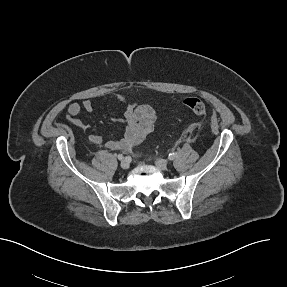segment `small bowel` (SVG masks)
<instances>
[{
	"label": "small bowel",
	"instance_id": "c3829d8e",
	"mask_svg": "<svg viewBox=\"0 0 287 287\" xmlns=\"http://www.w3.org/2000/svg\"><path fill=\"white\" fill-rule=\"evenodd\" d=\"M122 105V114L117 118L120 123L126 124L124 136L119 139L105 140L101 135L92 134L88 140L93 145H103L109 150L128 151L136 144L144 140L154 128L156 113L147 105H135L126 101L125 97L113 94L109 97ZM94 105L91 100L86 99L81 104L73 102L67 106V120L78 130L85 132L86 125L80 119L83 112L91 113Z\"/></svg>",
	"mask_w": 287,
	"mask_h": 287
}]
</instances>
